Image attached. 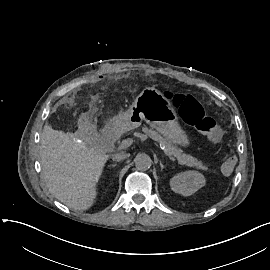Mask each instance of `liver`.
<instances>
[{"label": "liver", "mask_w": 270, "mask_h": 270, "mask_svg": "<svg viewBox=\"0 0 270 270\" xmlns=\"http://www.w3.org/2000/svg\"><path fill=\"white\" fill-rule=\"evenodd\" d=\"M42 172L49 192L68 207L87 209L96 197V183L108 159L93 142L45 125L40 135Z\"/></svg>", "instance_id": "6515ba94"}]
</instances>
